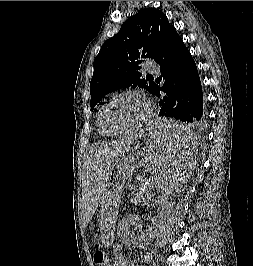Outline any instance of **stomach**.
<instances>
[{"label":"stomach","instance_id":"stomach-1","mask_svg":"<svg viewBox=\"0 0 253 266\" xmlns=\"http://www.w3.org/2000/svg\"><path fill=\"white\" fill-rule=\"evenodd\" d=\"M160 138H165L162 132L151 133L148 141L143 142L141 137L135 138L122 154L117 156L106 175L104 199V214L100 224V243L109 247L114 240V228L118 217V203L124 181L129 178L133 171L141 165L142 160H152L151 151L153 145H159Z\"/></svg>","mask_w":253,"mask_h":266}]
</instances>
